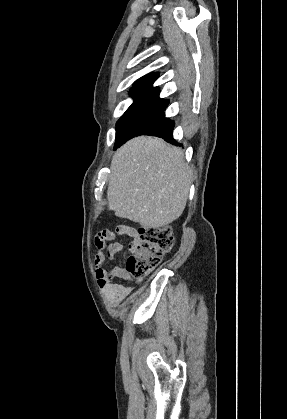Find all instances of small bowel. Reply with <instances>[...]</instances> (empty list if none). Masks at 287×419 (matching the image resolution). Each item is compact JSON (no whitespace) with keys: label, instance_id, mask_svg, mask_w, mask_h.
<instances>
[{"label":"small bowel","instance_id":"obj_1","mask_svg":"<svg viewBox=\"0 0 287 419\" xmlns=\"http://www.w3.org/2000/svg\"><path fill=\"white\" fill-rule=\"evenodd\" d=\"M137 232L133 227L119 225L114 231L103 233V239L97 241L94 265L98 285L104 290L109 302L113 306L119 305L132 292V287L123 283L114 282L115 279H132L130 273L121 267H115L110 270L104 268L107 259H114L121 251L122 244L116 241L118 235H124L135 238ZM108 242H111L108 244Z\"/></svg>","mask_w":287,"mask_h":419}]
</instances>
